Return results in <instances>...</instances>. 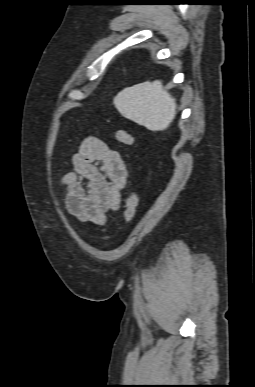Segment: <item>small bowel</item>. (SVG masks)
I'll use <instances>...</instances> for the list:
<instances>
[{
    "label": "small bowel",
    "mask_w": 255,
    "mask_h": 387,
    "mask_svg": "<svg viewBox=\"0 0 255 387\" xmlns=\"http://www.w3.org/2000/svg\"><path fill=\"white\" fill-rule=\"evenodd\" d=\"M73 170L62 177L65 206L79 221L102 226L106 213L120 207L128 171L118 151L87 137L72 157Z\"/></svg>",
    "instance_id": "c3829d8e"
}]
</instances>
